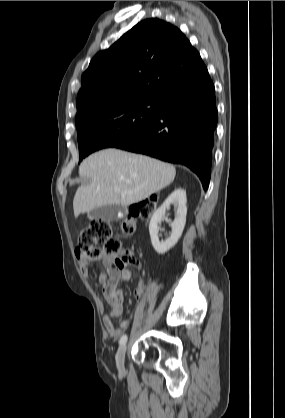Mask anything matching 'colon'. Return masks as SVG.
<instances>
[{"label":"colon","mask_w":285,"mask_h":418,"mask_svg":"<svg viewBox=\"0 0 285 418\" xmlns=\"http://www.w3.org/2000/svg\"><path fill=\"white\" fill-rule=\"evenodd\" d=\"M154 210L153 203L140 201L131 207V216L122 222V232L132 236L137 231V220L148 218ZM120 250V243L112 238V228L106 222H94L82 228L78 234L76 255L79 260L96 262L103 255L116 254ZM120 267L132 266L139 268L140 259L134 255H127L116 260Z\"/></svg>","instance_id":"obj_1"}]
</instances>
